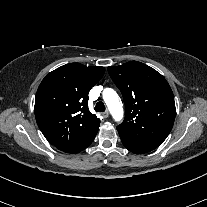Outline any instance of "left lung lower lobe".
I'll use <instances>...</instances> for the list:
<instances>
[{
    "mask_svg": "<svg viewBox=\"0 0 207 207\" xmlns=\"http://www.w3.org/2000/svg\"><path fill=\"white\" fill-rule=\"evenodd\" d=\"M123 145L131 152L136 154L147 153L159 146V144L141 141L125 134L119 133Z\"/></svg>",
    "mask_w": 207,
    "mask_h": 207,
    "instance_id": "1",
    "label": "left lung lower lobe"
}]
</instances>
